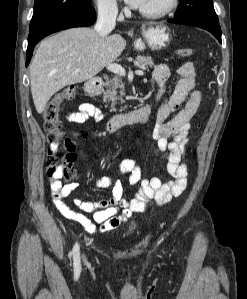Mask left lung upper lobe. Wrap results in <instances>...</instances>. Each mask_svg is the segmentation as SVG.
Segmentation results:
<instances>
[{
    "instance_id": "5c2ea615",
    "label": "left lung upper lobe",
    "mask_w": 247,
    "mask_h": 299,
    "mask_svg": "<svg viewBox=\"0 0 247 299\" xmlns=\"http://www.w3.org/2000/svg\"><path fill=\"white\" fill-rule=\"evenodd\" d=\"M191 14H200L213 20H218L212 0H180L174 18Z\"/></svg>"
}]
</instances>
